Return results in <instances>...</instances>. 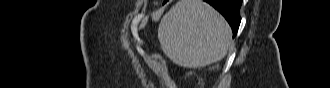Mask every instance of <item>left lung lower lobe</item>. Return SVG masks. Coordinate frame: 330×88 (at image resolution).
<instances>
[{"label":"left lung lower lobe","mask_w":330,"mask_h":88,"mask_svg":"<svg viewBox=\"0 0 330 88\" xmlns=\"http://www.w3.org/2000/svg\"><path fill=\"white\" fill-rule=\"evenodd\" d=\"M168 0H164L166 3ZM205 2L212 5L216 10H218L230 24L233 37L236 36L239 25H240V7L242 0H204Z\"/></svg>","instance_id":"obj_1"}]
</instances>
